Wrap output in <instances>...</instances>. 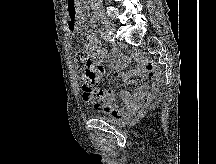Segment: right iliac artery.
I'll return each instance as SVG.
<instances>
[{"mask_svg":"<svg viewBox=\"0 0 216 164\" xmlns=\"http://www.w3.org/2000/svg\"><path fill=\"white\" fill-rule=\"evenodd\" d=\"M99 33L101 37L106 40V41H113L114 39L112 38V35L110 32L104 31V29H100Z\"/></svg>","mask_w":216,"mask_h":164,"instance_id":"1","label":"right iliac artery"}]
</instances>
